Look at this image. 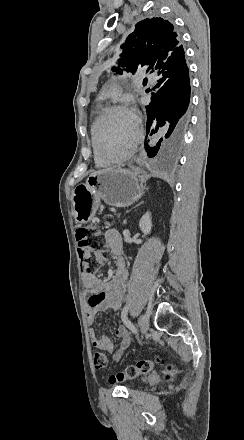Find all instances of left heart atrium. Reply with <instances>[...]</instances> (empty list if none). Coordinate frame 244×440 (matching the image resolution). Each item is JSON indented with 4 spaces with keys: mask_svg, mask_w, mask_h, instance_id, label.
I'll use <instances>...</instances> for the list:
<instances>
[{
    "mask_svg": "<svg viewBox=\"0 0 244 440\" xmlns=\"http://www.w3.org/2000/svg\"><path fill=\"white\" fill-rule=\"evenodd\" d=\"M128 114L135 130L134 137H137L139 135L140 113L136 107H132L128 110Z\"/></svg>",
    "mask_w": 244,
    "mask_h": 440,
    "instance_id": "39dd6f15",
    "label": "left heart atrium"
}]
</instances>
